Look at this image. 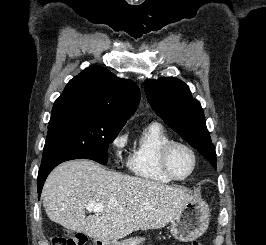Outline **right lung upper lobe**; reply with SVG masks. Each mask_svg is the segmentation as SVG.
I'll use <instances>...</instances> for the list:
<instances>
[{
	"mask_svg": "<svg viewBox=\"0 0 266 245\" xmlns=\"http://www.w3.org/2000/svg\"><path fill=\"white\" fill-rule=\"evenodd\" d=\"M139 100L140 91L135 82L118 78L107 69L93 65L69 81L55 101L51 116L92 111L126 121L136 110Z\"/></svg>",
	"mask_w": 266,
	"mask_h": 245,
	"instance_id": "cb5924a9",
	"label": "right lung upper lobe"
}]
</instances>
